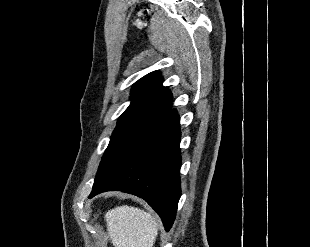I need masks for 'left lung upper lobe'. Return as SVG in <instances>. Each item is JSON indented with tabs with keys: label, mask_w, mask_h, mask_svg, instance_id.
<instances>
[{
	"label": "left lung upper lobe",
	"mask_w": 310,
	"mask_h": 247,
	"mask_svg": "<svg viewBox=\"0 0 310 247\" xmlns=\"http://www.w3.org/2000/svg\"><path fill=\"white\" fill-rule=\"evenodd\" d=\"M162 82L161 73L154 71L133 85L131 104L118 120L95 181L134 138L171 109L172 94L162 86Z\"/></svg>",
	"instance_id": "1"
}]
</instances>
